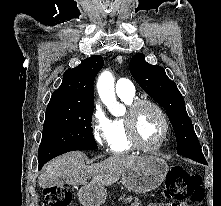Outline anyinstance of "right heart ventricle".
<instances>
[{"instance_id": "1", "label": "right heart ventricle", "mask_w": 221, "mask_h": 206, "mask_svg": "<svg viewBox=\"0 0 221 206\" xmlns=\"http://www.w3.org/2000/svg\"><path fill=\"white\" fill-rule=\"evenodd\" d=\"M118 96L126 105H130L136 100L134 95ZM108 130V146L113 154H124L134 149L128 137L125 117H117L109 120Z\"/></svg>"}]
</instances>
